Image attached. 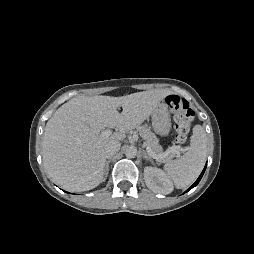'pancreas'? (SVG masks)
<instances>
[{
  "mask_svg": "<svg viewBox=\"0 0 254 254\" xmlns=\"http://www.w3.org/2000/svg\"><path fill=\"white\" fill-rule=\"evenodd\" d=\"M137 130L140 136L145 140V145L149 147L155 154L162 155V147L159 145V140L150 128L146 126H138ZM175 155L166 156L162 159H158L159 162H167L171 160Z\"/></svg>",
  "mask_w": 254,
  "mask_h": 254,
  "instance_id": "1",
  "label": "pancreas"
}]
</instances>
